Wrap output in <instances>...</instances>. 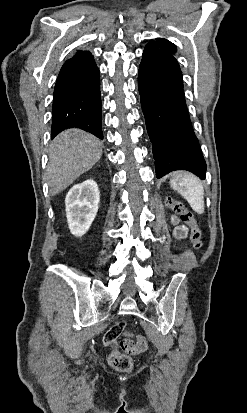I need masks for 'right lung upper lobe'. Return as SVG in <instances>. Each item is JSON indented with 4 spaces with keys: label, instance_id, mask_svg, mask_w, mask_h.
Here are the masks:
<instances>
[{
    "label": "right lung upper lobe",
    "instance_id": "cb5924a9",
    "mask_svg": "<svg viewBox=\"0 0 247 413\" xmlns=\"http://www.w3.org/2000/svg\"><path fill=\"white\" fill-rule=\"evenodd\" d=\"M93 56L89 51L78 50L74 56L68 59L64 65H68L74 62H85V61H93Z\"/></svg>",
    "mask_w": 247,
    "mask_h": 413
}]
</instances>
